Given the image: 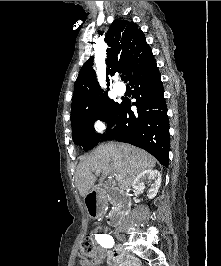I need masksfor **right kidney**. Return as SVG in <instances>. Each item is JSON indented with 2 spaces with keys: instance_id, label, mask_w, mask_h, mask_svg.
<instances>
[{
  "instance_id": "right-kidney-1",
  "label": "right kidney",
  "mask_w": 221,
  "mask_h": 266,
  "mask_svg": "<svg viewBox=\"0 0 221 266\" xmlns=\"http://www.w3.org/2000/svg\"><path fill=\"white\" fill-rule=\"evenodd\" d=\"M147 180L151 183L148 197L152 199L157 195L161 185V174L159 171L153 169L143 171L135 178L133 187L135 189H143L145 187L144 182Z\"/></svg>"
}]
</instances>
